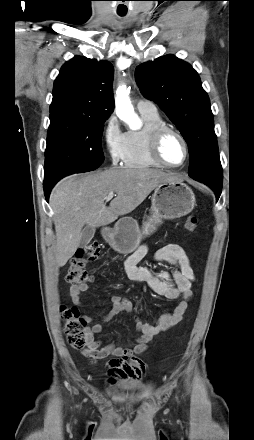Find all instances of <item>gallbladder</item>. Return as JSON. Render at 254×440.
I'll list each match as a JSON object with an SVG mask.
<instances>
[{
  "mask_svg": "<svg viewBox=\"0 0 254 440\" xmlns=\"http://www.w3.org/2000/svg\"><path fill=\"white\" fill-rule=\"evenodd\" d=\"M95 234V228L91 226H85L82 230L81 240L79 243L80 247L87 246Z\"/></svg>",
  "mask_w": 254,
  "mask_h": 440,
  "instance_id": "gallbladder-1",
  "label": "gallbladder"
}]
</instances>
